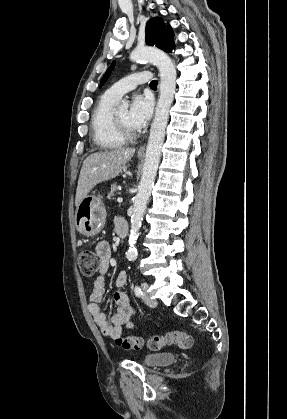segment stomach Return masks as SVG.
I'll use <instances>...</instances> for the list:
<instances>
[{
	"mask_svg": "<svg viewBox=\"0 0 287 419\" xmlns=\"http://www.w3.org/2000/svg\"><path fill=\"white\" fill-rule=\"evenodd\" d=\"M105 220L106 210L100 197L88 195L76 208L75 225L83 236L97 235L103 229Z\"/></svg>",
	"mask_w": 287,
	"mask_h": 419,
	"instance_id": "obj_1",
	"label": "stomach"
}]
</instances>
